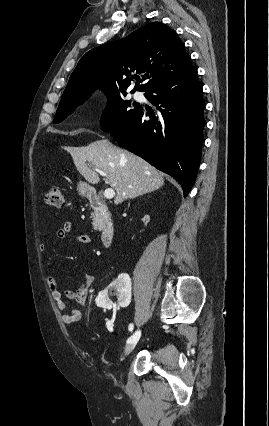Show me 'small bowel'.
Listing matches in <instances>:
<instances>
[{"label":"small bowel","mask_w":269,"mask_h":426,"mask_svg":"<svg viewBox=\"0 0 269 426\" xmlns=\"http://www.w3.org/2000/svg\"><path fill=\"white\" fill-rule=\"evenodd\" d=\"M56 236L58 239L71 237L74 241L87 245L93 242L92 237L89 235L75 234L73 232V225L71 222H65L62 227L58 229ZM40 250L45 251L46 246L41 244ZM46 281L51 291L52 298L60 311L63 320L68 324L77 322L81 317V311L76 308H71L67 301H73L81 306L85 305L94 283V274L91 272H85L76 289L64 290V281H58L51 274L47 275Z\"/></svg>","instance_id":"obj_1"}]
</instances>
